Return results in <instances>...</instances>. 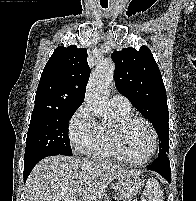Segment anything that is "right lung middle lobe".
<instances>
[{"mask_svg": "<svg viewBox=\"0 0 196 201\" xmlns=\"http://www.w3.org/2000/svg\"><path fill=\"white\" fill-rule=\"evenodd\" d=\"M77 108L34 106L27 133L24 159L48 151L71 156L67 127Z\"/></svg>", "mask_w": 196, "mask_h": 201, "instance_id": "dd1d6c3e", "label": "right lung middle lobe"}]
</instances>
